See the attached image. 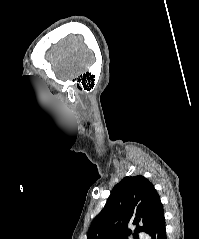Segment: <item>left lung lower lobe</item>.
<instances>
[{"label":"left lung lower lobe","mask_w":199,"mask_h":239,"mask_svg":"<svg viewBox=\"0 0 199 239\" xmlns=\"http://www.w3.org/2000/svg\"><path fill=\"white\" fill-rule=\"evenodd\" d=\"M147 234L150 236L151 239H167L165 230L164 210L160 211V213L157 215Z\"/></svg>","instance_id":"0a47b994"}]
</instances>
